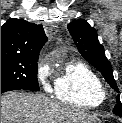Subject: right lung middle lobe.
Instances as JSON below:
<instances>
[{"label":"right lung middle lobe","instance_id":"1","mask_svg":"<svg viewBox=\"0 0 122 123\" xmlns=\"http://www.w3.org/2000/svg\"><path fill=\"white\" fill-rule=\"evenodd\" d=\"M38 57L1 55V87L39 91Z\"/></svg>","mask_w":122,"mask_h":123}]
</instances>
